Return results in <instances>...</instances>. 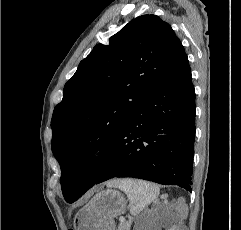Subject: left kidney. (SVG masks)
Listing matches in <instances>:
<instances>
[{
    "instance_id": "obj_1",
    "label": "left kidney",
    "mask_w": 241,
    "mask_h": 230,
    "mask_svg": "<svg viewBox=\"0 0 241 230\" xmlns=\"http://www.w3.org/2000/svg\"><path fill=\"white\" fill-rule=\"evenodd\" d=\"M136 230H154V226L152 224H143L139 226Z\"/></svg>"
}]
</instances>
